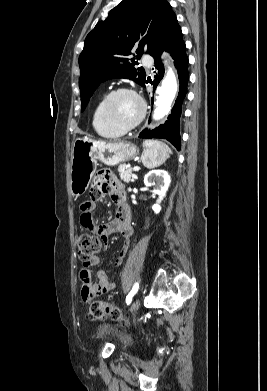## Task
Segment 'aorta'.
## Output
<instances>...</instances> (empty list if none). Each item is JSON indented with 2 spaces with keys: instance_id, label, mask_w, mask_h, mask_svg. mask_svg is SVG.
<instances>
[{
  "instance_id": "762f6f07",
  "label": "aorta",
  "mask_w": 267,
  "mask_h": 391,
  "mask_svg": "<svg viewBox=\"0 0 267 391\" xmlns=\"http://www.w3.org/2000/svg\"><path fill=\"white\" fill-rule=\"evenodd\" d=\"M178 83L176 76L169 68L161 85L157 88V96L155 101V110L153 118L159 120L163 118L171 109V104L176 96Z\"/></svg>"
}]
</instances>
